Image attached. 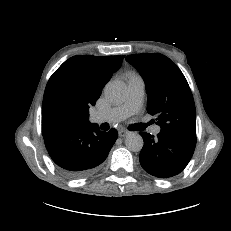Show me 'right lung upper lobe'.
Here are the masks:
<instances>
[{
  "instance_id": "right-lung-upper-lobe-1",
  "label": "right lung upper lobe",
  "mask_w": 231,
  "mask_h": 231,
  "mask_svg": "<svg viewBox=\"0 0 231 231\" xmlns=\"http://www.w3.org/2000/svg\"><path fill=\"white\" fill-rule=\"evenodd\" d=\"M124 56H73L65 61L50 77L65 79L73 95L85 105H95L102 88L110 80L123 61ZM88 116L82 124H88ZM79 125V126H80Z\"/></svg>"
}]
</instances>
